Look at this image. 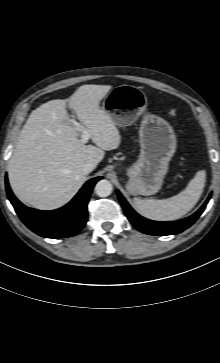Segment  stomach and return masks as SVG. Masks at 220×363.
<instances>
[{"mask_svg":"<svg viewBox=\"0 0 220 363\" xmlns=\"http://www.w3.org/2000/svg\"><path fill=\"white\" fill-rule=\"evenodd\" d=\"M147 105V97L140 88L120 85L108 93L101 106L120 127L129 126L144 115L139 130L140 155L126 168V188L132 195L149 196L161 189L177 147L173 128L163 118L146 113Z\"/></svg>","mask_w":220,"mask_h":363,"instance_id":"stomach-1","label":"stomach"}]
</instances>
